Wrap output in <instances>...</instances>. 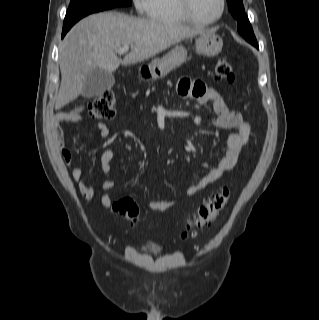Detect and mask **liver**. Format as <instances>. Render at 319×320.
<instances>
[{
    "label": "liver",
    "mask_w": 319,
    "mask_h": 320,
    "mask_svg": "<svg viewBox=\"0 0 319 320\" xmlns=\"http://www.w3.org/2000/svg\"><path fill=\"white\" fill-rule=\"evenodd\" d=\"M204 31L165 20L143 19L117 12L90 15L67 33L59 45L61 84L55 103L59 110L82 93L86 76L95 69L112 73L158 55L170 46ZM123 46L131 51L117 56Z\"/></svg>",
    "instance_id": "liver-1"
}]
</instances>
